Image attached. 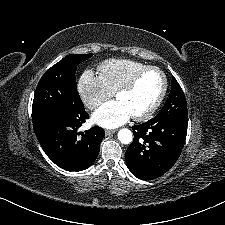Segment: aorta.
<instances>
[{"label": "aorta", "mask_w": 225, "mask_h": 225, "mask_svg": "<svg viewBox=\"0 0 225 225\" xmlns=\"http://www.w3.org/2000/svg\"><path fill=\"white\" fill-rule=\"evenodd\" d=\"M118 139L123 144H129L133 140V134L129 129L123 128L118 132Z\"/></svg>", "instance_id": "aorta-1"}]
</instances>
